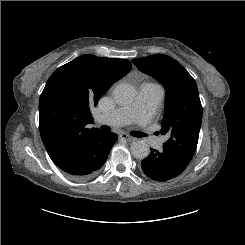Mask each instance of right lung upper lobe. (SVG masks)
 <instances>
[{
	"label": "right lung upper lobe",
	"instance_id": "cb5924a9",
	"mask_svg": "<svg viewBox=\"0 0 245 245\" xmlns=\"http://www.w3.org/2000/svg\"><path fill=\"white\" fill-rule=\"evenodd\" d=\"M125 59L82 55L59 67L48 79L39 101V127L43 144L57 164L98 129L90 109L131 70Z\"/></svg>",
	"mask_w": 245,
	"mask_h": 245
}]
</instances>
